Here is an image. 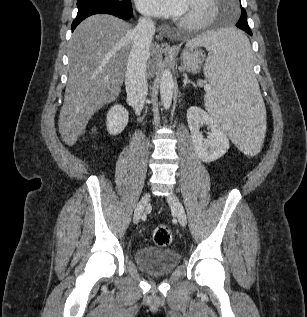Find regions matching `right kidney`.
<instances>
[{"mask_svg":"<svg viewBox=\"0 0 307 317\" xmlns=\"http://www.w3.org/2000/svg\"><path fill=\"white\" fill-rule=\"evenodd\" d=\"M129 119V113L126 108L120 104L112 106L107 113L106 126L110 135H118L126 127Z\"/></svg>","mask_w":307,"mask_h":317,"instance_id":"1","label":"right kidney"}]
</instances>
